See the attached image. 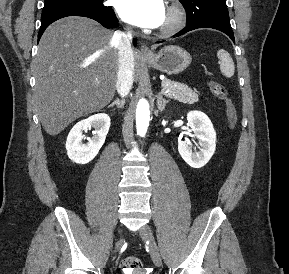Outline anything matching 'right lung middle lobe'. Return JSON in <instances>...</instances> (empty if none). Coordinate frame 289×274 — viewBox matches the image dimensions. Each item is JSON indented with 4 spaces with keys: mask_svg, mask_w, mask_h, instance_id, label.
<instances>
[{
    "mask_svg": "<svg viewBox=\"0 0 289 274\" xmlns=\"http://www.w3.org/2000/svg\"><path fill=\"white\" fill-rule=\"evenodd\" d=\"M103 0H45L43 11L58 9L63 7H82L91 10L103 11L108 9Z\"/></svg>",
    "mask_w": 289,
    "mask_h": 274,
    "instance_id": "dd1d6c3e",
    "label": "right lung middle lobe"
}]
</instances>
